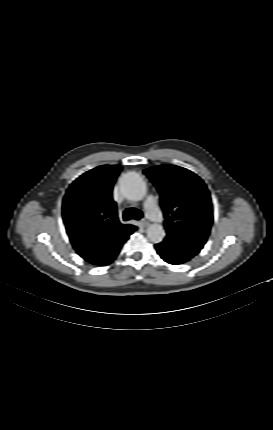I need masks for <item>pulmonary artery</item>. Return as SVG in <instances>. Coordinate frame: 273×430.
Masks as SVG:
<instances>
[{"label":"pulmonary artery","instance_id":"obj_1","mask_svg":"<svg viewBox=\"0 0 273 430\" xmlns=\"http://www.w3.org/2000/svg\"><path fill=\"white\" fill-rule=\"evenodd\" d=\"M146 210L150 217H152L154 220H160L161 219V212L156 206V200L153 196H149L145 203Z\"/></svg>","mask_w":273,"mask_h":430}]
</instances>
